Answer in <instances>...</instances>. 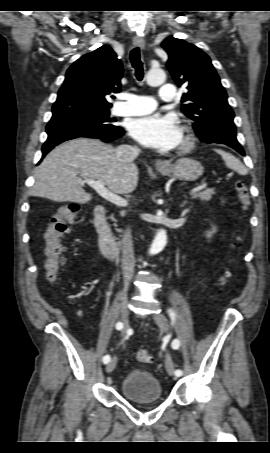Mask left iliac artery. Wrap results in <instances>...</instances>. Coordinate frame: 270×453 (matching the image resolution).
Segmentation results:
<instances>
[{"label": "left iliac artery", "mask_w": 270, "mask_h": 453, "mask_svg": "<svg viewBox=\"0 0 270 453\" xmlns=\"http://www.w3.org/2000/svg\"><path fill=\"white\" fill-rule=\"evenodd\" d=\"M170 316H171L172 319H173L174 316H175L174 313H173L172 311H170ZM179 346H180L179 340H178V339H175V340L172 342V348H173V349H178ZM175 375L178 376V377L181 376V375H182V371H181L180 369H177V370L175 371Z\"/></svg>", "instance_id": "left-iliac-artery-1"}]
</instances>
